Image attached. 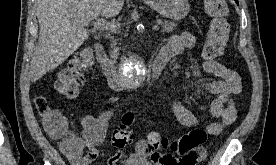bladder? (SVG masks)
<instances>
[{
    "label": "bladder",
    "mask_w": 276,
    "mask_h": 165,
    "mask_svg": "<svg viewBox=\"0 0 276 165\" xmlns=\"http://www.w3.org/2000/svg\"><path fill=\"white\" fill-rule=\"evenodd\" d=\"M126 165H152L150 162H148L145 159H142L140 157H134L132 161Z\"/></svg>",
    "instance_id": "1"
}]
</instances>
